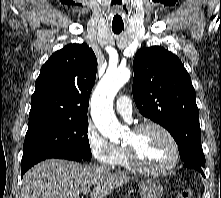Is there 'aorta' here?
<instances>
[{"mask_svg": "<svg viewBox=\"0 0 221 198\" xmlns=\"http://www.w3.org/2000/svg\"><path fill=\"white\" fill-rule=\"evenodd\" d=\"M130 76L131 72L127 68L107 70L91 98V116L97 129L114 142L124 136L125 129L114 114L113 100Z\"/></svg>", "mask_w": 221, "mask_h": 198, "instance_id": "762f6f07", "label": "aorta"}]
</instances>
